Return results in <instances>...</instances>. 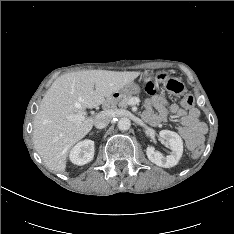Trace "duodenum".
<instances>
[{
  "label": "duodenum",
  "instance_id": "410a0bca",
  "mask_svg": "<svg viewBox=\"0 0 234 234\" xmlns=\"http://www.w3.org/2000/svg\"><path fill=\"white\" fill-rule=\"evenodd\" d=\"M118 98H119V94L117 93L113 94L104 102L103 107L105 109L111 108L115 104V102L118 100Z\"/></svg>",
  "mask_w": 234,
  "mask_h": 234
}]
</instances>
